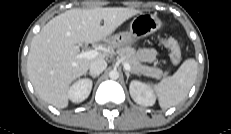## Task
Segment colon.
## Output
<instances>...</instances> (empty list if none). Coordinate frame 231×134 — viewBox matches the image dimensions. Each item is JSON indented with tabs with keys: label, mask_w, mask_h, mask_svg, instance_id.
I'll use <instances>...</instances> for the list:
<instances>
[{
	"label": "colon",
	"mask_w": 231,
	"mask_h": 134,
	"mask_svg": "<svg viewBox=\"0 0 231 134\" xmlns=\"http://www.w3.org/2000/svg\"><path fill=\"white\" fill-rule=\"evenodd\" d=\"M160 45L166 47L170 51V59L174 65L181 61V48L179 43L173 38H158Z\"/></svg>",
	"instance_id": "obj_1"
}]
</instances>
